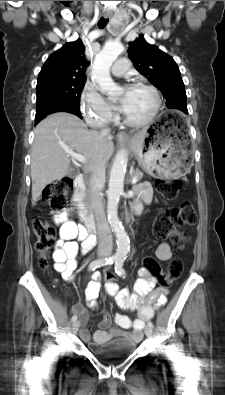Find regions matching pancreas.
Here are the masks:
<instances>
[{
    "mask_svg": "<svg viewBox=\"0 0 225 395\" xmlns=\"http://www.w3.org/2000/svg\"><path fill=\"white\" fill-rule=\"evenodd\" d=\"M133 177H137V180L139 181L142 177H143V172H141L140 170L136 169L133 174Z\"/></svg>",
    "mask_w": 225,
    "mask_h": 395,
    "instance_id": "pancreas-1",
    "label": "pancreas"
}]
</instances>
